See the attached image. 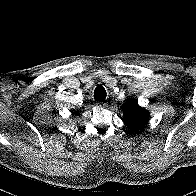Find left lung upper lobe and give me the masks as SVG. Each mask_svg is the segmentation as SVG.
Here are the masks:
<instances>
[{"label": "left lung upper lobe", "instance_id": "5c2ea615", "mask_svg": "<svg viewBox=\"0 0 196 196\" xmlns=\"http://www.w3.org/2000/svg\"><path fill=\"white\" fill-rule=\"evenodd\" d=\"M122 109L125 124L134 132L141 131L149 121V113L138 105L137 100H129Z\"/></svg>", "mask_w": 196, "mask_h": 196}]
</instances>
